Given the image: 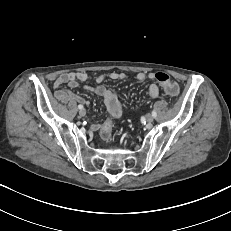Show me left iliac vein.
<instances>
[{
  "label": "left iliac vein",
  "mask_w": 231,
  "mask_h": 231,
  "mask_svg": "<svg viewBox=\"0 0 231 231\" xmlns=\"http://www.w3.org/2000/svg\"><path fill=\"white\" fill-rule=\"evenodd\" d=\"M153 120H154V117L152 115L147 116V123L148 124H151L153 122Z\"/></svg>",
  "instance_id": "obj_1"
}]
</instances>
